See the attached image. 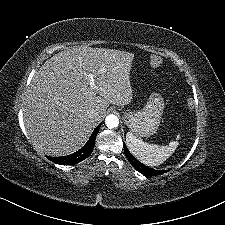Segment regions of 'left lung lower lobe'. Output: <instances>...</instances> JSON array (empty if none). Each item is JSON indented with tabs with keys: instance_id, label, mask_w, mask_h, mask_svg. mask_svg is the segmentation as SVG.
<instances>
[{
	"instance_id": "1",
	"label": "left lung lower lobe",
	"mask_w": 225,
	"mask_h": 225,
	"mask_svg": "<svg viewBox=\"0 0 225 225\" xmlns=\"http://www.w3.org/2000/svg\"><path fill=\"white\" fill-rule=\"evenodd\" d=\"M124 151L126 154V157L128 158L129 162L131 163V165L138 170L140 173L144 174V175H161L166 171H161V170H154L151 168H148L147 166L143 165L142 163H140L138 160H136L132 154L129 152V150L127 149L126 145L124 144Z\"/></svg>"
}]
</instances>
